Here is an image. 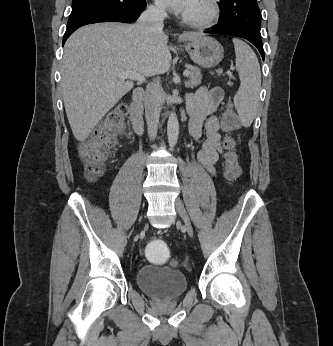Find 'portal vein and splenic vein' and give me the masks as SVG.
Here are the masks:
<instances>
[{
	"label": "portal vein and splenic vein",
	"instance_id": "obj_1",
	"mask_svg": "<svg viewBox=\"0 0 333 346\" xmlns=\"http://www.w3.org/2000/svg\"><path fill=\"white\" fill-rule=\"evenodd\" d=\"M189 74H190V72L188 70L183 72V75L185 77L189 76ZM119 77L123 78V79L135 80V81H138L139 83L145 82V78L143 76H141L138 73L133 72V71H126L124 73H121V74H119Z\"/></svg>",
	"mask_w": 333,
	"mask_h": 346
}]
</instances>
